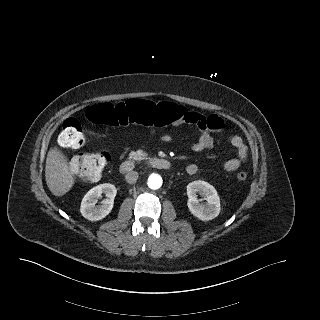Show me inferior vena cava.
<instances>
[{
    "instance_id": "602c4592",
    "label": "inferior vena cava",
    "mask_w": 320,
    "mask_h": 320,
    "mask_svg": "<svg viewBox=\"0 0 320 320\" xmlns=\"http://www.w3.org/2000/svg\"><path fill=\"white\" fill-rule=\"evenodd\" d=\"M138 176H139L138 172L130 171L125 176L126 182L129 184H134V183H136Z\"/></svg>"
}]
</instances>
